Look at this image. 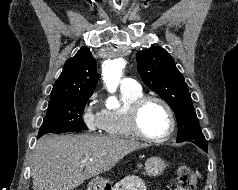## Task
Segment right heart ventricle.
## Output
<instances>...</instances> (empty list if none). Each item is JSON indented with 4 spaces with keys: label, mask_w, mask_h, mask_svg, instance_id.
Masks as SVG:
<instances>
[{
    "label": "right heart ventricle",
    "mask_w": 238,
    "mask_h": 190,
    "mask_svg": "<svg viewBox=\"0 0 238 190\" xmlns=\"http://www.w3.org/2000/svg\"><path fill=\"white\" fill-rule=\"evenodd\" d=\"M143 96L139 90H121L122 106L115 110H104L103 130L111 137L134 139L136 136L131 131L128 112L131 104Z\"/></svg>",
    "instance_id": "obj_1"
}]
</instances>
